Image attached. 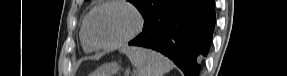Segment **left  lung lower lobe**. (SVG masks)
Returning <instances> with one entry per match:
<instances>
[{
  "instance_id": "1",
  "label": "left lung lower lobe",
  "mask_w": 287,
  "mask_h": 76,
  "mask_svg": "<svg viewBox=\"0 0 287 76\" xmlns=\"http://www.w3.org/2000/svg\"><path fill=\"white\" fill-rule=\"evenodd\" d=\"M215 25L214 0H173L144 23L129 45L169 57L185 76H199Z\"/></svg>"
}]
</instances>
